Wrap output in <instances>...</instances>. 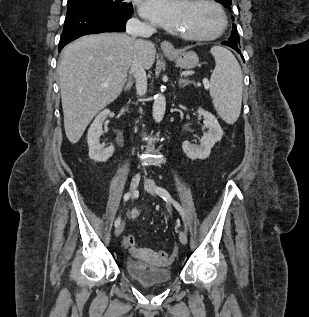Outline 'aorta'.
Segmentation results:
<instances>
[{"label": "aorta", "instance_id": "obj_1", "mask_svg": "<svg viewBox=\"0 0 309 317\" xmlns=\"http://www.w3.org/2000/svg\"><path fill=\"white\" fill-rule=\"evenodd\" d=\"M166 110V98L163 94L156 95L153 104V118L155 122L162 121Z\"/></svg>", "mask_w": 309, "mask_h": 317}]
</instances>
